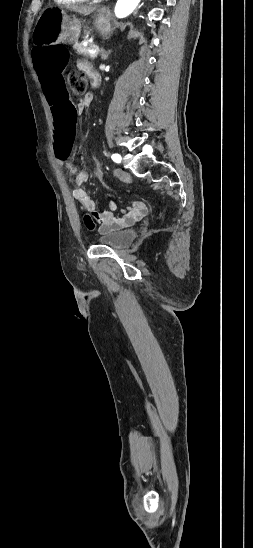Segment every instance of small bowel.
<instances>
[{
	"mask_svg": "<svg viewBox=\"0 0 253 548\" xmlns=\"http://www.w3.org/2000/svg\"><path fill=\"white\" fill-rule=\"evenodd\" d=\"M79 65L88 74H93L91 67L86 62H81ZM92 102L93 95L91 93L86 94L76 106L77 115L79 112L89 107ZM56 161L60 166L67 167L70 174L73 175L75 178V183L77 187L73 190V197L80 209L90 214L85 218L86 226L89 229H95L96 224H98L97 229L101 233L119 230L133 225L136 221L145 216L147 208L146 205L141 201H133L129 207L122 210L121 214H116V203L114 201L109 202L108 210H98L96 203L81 187L82 184L88 180V173L84 170H80L77 166H75L70 161V158H56Z\"/></svg>",
	"mask_w": 253,
	"mask_h": 548,
	"instance_id": "small-bowel-1",
	"label": "small bowel"
}]
</instances>
